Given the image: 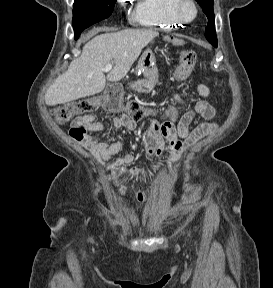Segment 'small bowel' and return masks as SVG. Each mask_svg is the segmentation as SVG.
Wrapping results in <instances>:
<instances>
[{
	"label": "small bowel",
	"mask_w": 273,
	"mask_h": 288,
	"mask_svg": "<svg viewBox=\"0 0 273 288\" xmlns=\"http://www.w3.org/2000/svg\"><path fill=\"white\" fill-rule=\"evenodd\" d=\"M197 90L202 98L184 111L177 125L171 121H152L150 123L148 131L143 138V147L147 155L160 156L164 152H167L170 160L175 161L186 150L212 134L218 128L217 123L212 121L217 112L215 107L208 101L210 96L209 88L204 84H199ZM173 99L179 105H186L188 103L187 99L177 93L173 95ZM141 115L142 110L136 114H120L113 119V126L115 129L126 128L134 130ZM197 115L202 116L207 121L190 131L191 123ZM78 124L85 125L86 133L82 138L75 140L81 143L100 162L109 161L113 155L118 154L124 148V143L121 141L104 142L92 135L104 129V125L100 121L95 120L93 116L88 115L77 118L73 126ZM133 159L131 154H125L116 159L112 164L107 165L106 169L110 173L111 181H115L118 174L125 173L135 177H145L143 171L127 168L133 162ZM121 191L124 193L125 189L121 188ZM145 197L146 193L144 192L136 194V199L139 201H143Z\"/></svg>",
	"instance_id": "obj_1"
}]
</instances>
